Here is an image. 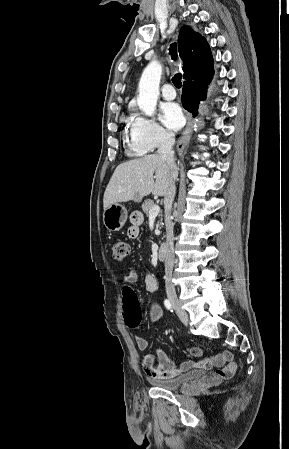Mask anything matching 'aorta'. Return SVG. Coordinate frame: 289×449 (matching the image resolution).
<instances>
[{
    "instance_id": "762f6f07",
    "label": "aorta",
    "mask_w": 289,
    "mask_h": 449,
    "mask_svg": "<svg viewBox=\"0 0 289 449\" xmlns=\"http://www.w3.org/2000/svg\"><path fill=\"white\" fill-rule=\"evenodd\" d=\"M162 74V66L152 60L144 69L139 82V95L137 103L147 116H152L155 112L159 95V84Z\"/></svg>"
}]
</instances>
